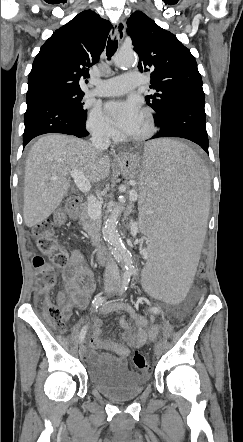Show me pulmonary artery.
Here are the masks:
<instances>
[{"label":"pulmonary artery","mask_w":243,"mask_h":442,"mask_svg":"<svg viewBox=\"0 0 243 442\" xmlns=\"http://www.w3.org/2000/svg\"><path fill=\"white\" fill-rule=\"evenodd\" d=\"M142 83L143 78L141 74L138 72H127L105 80H92L95 88L91 91V94L97 96L121 95L139 87Z\"/></svg>","instance_id":"e3ab8cb5"}]
</instances>
